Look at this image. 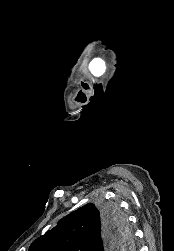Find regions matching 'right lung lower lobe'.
Segmentation results:
<instances>
[{
  "label": "right lung lower lobe",
  "instance_id": "obj_1",
  "mask_svg": "<svg viewBox=\"0 0 174 251\" xmlns=\"http://www.w3.org/2000/svg\"><path fill=\"white\" fill-rule=\"evenodd\" d=\"M116 233H117L116 227L105 218L103 220V231L101 236V242L103 247L106 248V247H111L113 245V237ZM106 250L116 251L111 248L104 249V251Z\"/></svg>",
  "mask_w": 174,
  "mask_h": 251
}]
</instances>
